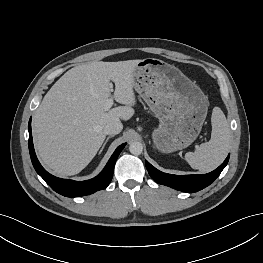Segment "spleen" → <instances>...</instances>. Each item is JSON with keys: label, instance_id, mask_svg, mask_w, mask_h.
Segmentation results:
<instances>
[{"label": "spleen", "instance_id": "obj_1", "mask_svg": "<svg viewBox=\"0 0 263 263\" xmlns=\"http://www.w3.org/2000/svg\"><path fill=\"white\" fill-rule=\"evenodd\" d=\"M211 123V139L202 143L194 152L185 154L188 164L202 173L217 168L224 161L230 146L229 124L219 107L213 108Z\"/></svg>", "mask_w": 263, "mask_h": 263}]
</instances>
